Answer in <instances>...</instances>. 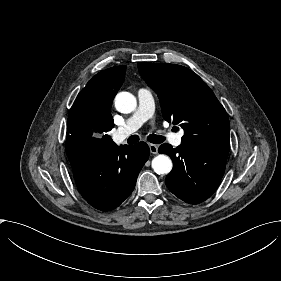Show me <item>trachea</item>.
<instances>
[{"instance_id":"1","label":"trachea","mask_w":281,"mask_h":281,"mask_svg":"<svg viewBox=\"0 0 281 281\" xmlns=\"http://www.w3.org/2000/svg\"><path fill=\"white\" fill-rule=\"evenodd\" d=\"M147 140L151 143L159 144V143H162L165 140V138L160 135L151 134L147 137ZM138 141H139V137L137 135H133V136L129 137V139H128V143H130V144H135Z\"/></svg>"}]
</instances>
